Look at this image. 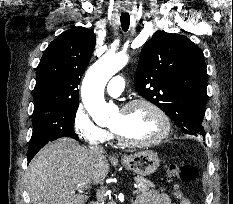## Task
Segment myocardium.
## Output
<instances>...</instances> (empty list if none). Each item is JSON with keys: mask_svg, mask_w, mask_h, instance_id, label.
Returning a JSON list of instances; mask_svg holds the SVG:
<instances>
[{"mask_svg": "<svg viewBox=\"0 0 233 204\" xmlns=\"http://www.w3.org/2000/svg\"><path fill=\"white\" fill-rule=\"evenodd\" d=\"M137 106H145L150 110H152L162 122V126H163L162 131L156 137L147 141H131L124 138L117 131L111 128V132L113 133L118 143L126 147L144 148V147L154 146L165 140L171 131V121L168 115L165 113V111L161 107H159L156 103L144 98L130 100L127 103H125L120 110L129 111L130 109Z\"/></svg>", "mask_w": 233, "mask_h": 204, "instance_id": "f54148a6", "label": "myocardium"}]
</instances>
